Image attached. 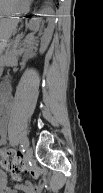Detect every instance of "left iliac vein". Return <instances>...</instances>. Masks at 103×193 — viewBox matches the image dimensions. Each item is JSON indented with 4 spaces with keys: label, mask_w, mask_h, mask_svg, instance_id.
<instances>
[{
    "label": "left iliac vein",
    "mask_w": 103,
    "mask_h": 193,
    "mask_svg": "<svg viewBox=\"0 0 103 193\" xmlns=\"http://www.w3.org/2000/svg\"><path fill=\"white\" fill-rule=\"evenodd\" d=\"M32 156H33V150L31 147H28L26 152H25V156H24L26 162H29L32 159Z\"/></svg>",
    "instance_id": "1"
}]
</instances>
